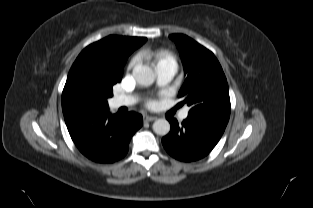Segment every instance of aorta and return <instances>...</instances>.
I'll list each match as a JSON object with an SVG mask.
<instances>
[{
  "instance_id": "aorta-1",
  "label": "aorta",
  "mask_w": 313,
  "mask_h": 208,
  "mask_svg": "<svg viewBox=\"0 0 313 208\" xmlns=\"http://www.w3.org/2000/svg\"><path fill=\"white\" fill-rule=\"evenodd\" d=\"M133 77L138 84L143 86H149L155 81V72L148 65H136L133 68ZM153 131L160 136H165L170 131V123L166 119H157L153 123Z\"/></svg>"
}]
</instances>
